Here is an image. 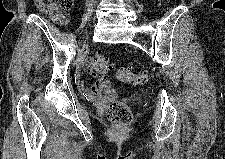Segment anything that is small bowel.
Returning a JSON list of instances; mask_svg holds the SVG:
<instances>
[{"label": "small bowel", "instance_id": "c3829d8e", "mask_svg": "<svg viewBox=\"0 0 225 159\" xmlns=\"http://www.w3.org/2000/svg\"><path fill=\"white\" fill-rule=\"evenodd\" d=\"M84 66H85V68H87V69H91V68L93 67V62H92V60L87 59V60L84 62ZM100 84H101V80H100L97 84H95L94 86H91V87L86 86V84H85L83 81H80V82L78 83L79 88H80L83 92H85L86 94H89V95L95 94V93L97 92V90H98Z\"/></svg>", "mask_w": 225, "mask_h": 159}]
</instances>
